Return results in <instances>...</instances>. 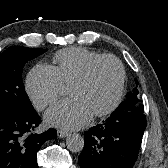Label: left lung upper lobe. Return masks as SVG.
<instances>
[{
  "instance_id": "left-lung-upper-lobe-1",
  "label": "left lung upper lobe",
  "mask_w": 168,
  "mask_h": 168,
  "mask_svg": "<svg viewBox=\"0 0 168 168\" xmlns=\"http://www.w3.org/2000/svg\"><path fill=\"white\" fill-rule=\"evenodd\" d=\"M135 82H136V85H138V81L135 80ZM138 94H139V91H138L137 87H135L132 92H129L127 94V99L125 101H123L119 105V107H121V106H134V107H138L140 105H143L141 103V100L138 97Z\"/></svg>"
}]
</instances>
